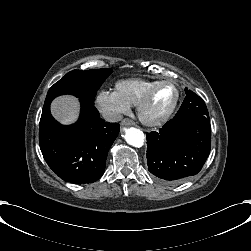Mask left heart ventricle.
I'll return each mask as SVG.
<instances>
[{
    "label": "left heart ventricle",
    "mask_w": 251,
    "mask_h": 251,
    "mask_svg": "<svg viewBox=\"0 0 251 251\" xmlns=\"http://www.w3.org/2000/svg\"><path fill=\"white\" fill-rule=\"evenodd\" d=\"M178 95V88L174 83L165 82L161 84L147 107V115L153 119L160 118L174 107Z\"/></svg>",
    "instance_id": "left-heart-ventricle-1"
}]
</instances>
